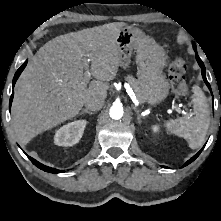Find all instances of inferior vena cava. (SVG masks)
Listing matches in <instances>:
<instances>
[{
  "label": "inferior vena cava",
  "mask_w": 221,
  "mask_h": 221,
  "mask_svg": "<svg viewBox=\"0 0 221 221\" xmlns=\"http://www.w3.org/2000/svg\"><path fill=\"white\" fill-rule=\"evenodd\" d=\"M105 99L102 97L93 96L85 101V106L91 111L100 110L104 105Z\"/></svg>",
  "instance_id": "inferior-vena-cava-1"
}]
</instances>
